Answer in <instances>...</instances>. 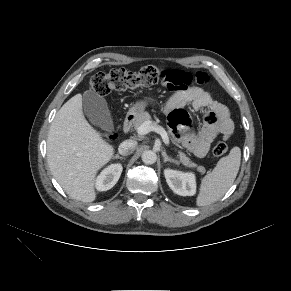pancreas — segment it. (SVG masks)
Masks as SVG:
<instances>
[{"label":"pancreas","mask_w":291,"mask_h":291,"mask_svg":"<svg viewBox=\"0 0 291 291\" xmlns=\"http://www.w3.org/2000/svg\"><path fill=\"white\" fill-rule=\"evenodd\" d=\"M145 121H151V116L148 112H143L141 115L138 116L136 121L134 122V128L137 130ZM152 122V121H151ZM179 161L190 168H196L198 172L203 174L205 172V168L203 166H197L194 162L190 160L183 152H179L178 154Z\"/></svg>","instance_id":"cf45deb5"}]
</instances>
